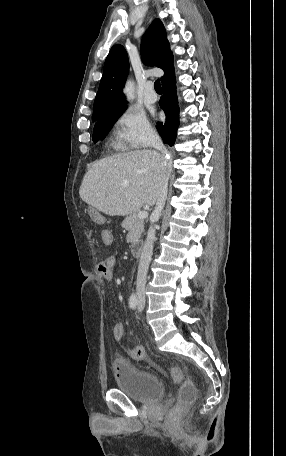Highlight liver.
<instances>
[{
	"instance_id": "6515ba94",
	"label": "liver",
	"mask_w": 286,
	"mask_h": 456,
	"mask_svg": "<svg viewBox=\"0 0 286 456\" xmlns=\"http://www.w3.org/2000/svg\"><path fill=\"white\" fill-rule=\"evenodd\" d=\"M164 156L154 150L130 151L95 161L79 189L81 199L109 216H125L153 206L164 177Z\"/></svg>"
}]
</instances>
